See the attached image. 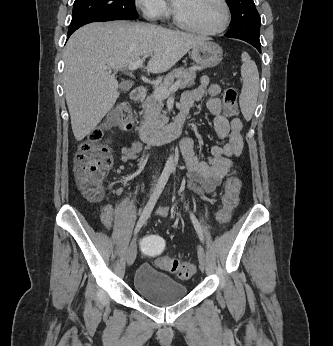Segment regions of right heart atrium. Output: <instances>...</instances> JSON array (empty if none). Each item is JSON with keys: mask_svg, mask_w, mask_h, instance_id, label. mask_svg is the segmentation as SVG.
Returning <instances> with one entry per match:
<instances>
[{"mask_svg": "<svg viewBox=\"0 0 333 346\" xmlns=\"http://www.w3.org/2000/svg\"><path fill=\"white\" fill-rule=\"evenodd\" d=\"M135 3L150 20L164 19L170 11L166 0H135Z\"/></svg>", "mask_w": 333, "mask_h": 346, "instance_id": "1", "label": "right heart atrium"}]
</instances>
